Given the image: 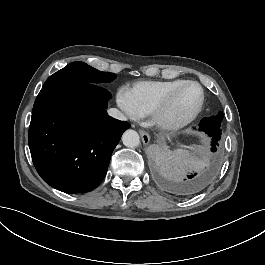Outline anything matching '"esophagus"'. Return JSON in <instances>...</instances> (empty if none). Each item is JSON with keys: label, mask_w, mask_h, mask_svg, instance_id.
Segmentation results:
<instances>
[{"label": "esophagus", "mask_w": 265, "mask_h": 265, "mask_svg": "<svg viewBox=\"0 0 265 265\" xmlns=\"http://www.w3.org/2000/svg\"><path fill=\"white\" fill-rule=\"evenodd\" d=\"M139 134L142 138L143 144L147 145L150 142V135L143 129L139 130Z\"/></svg>", "instance_id": "34e87169"}]
</instances>
